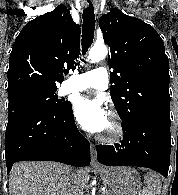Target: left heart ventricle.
<instances>
[{
    "label": "left heart ventricle",
    "instance_id": "b2bd125f",
    "mask_svg": "<svg viewBox=\"0 0 178 195\" xmlns=\"http://www.w3.org/2000/svg\"><path fill=\"white\" fill-rule=\"evenodd\" d=\"M112 128H113L112 121H111V119L109 117L108 122L106 123V125L103 128V130L101 131V134L102 135H109V134H111Z\"/></svg>",
    "mask_w": 178,
    "mask_h": 195
}]
</instances>
